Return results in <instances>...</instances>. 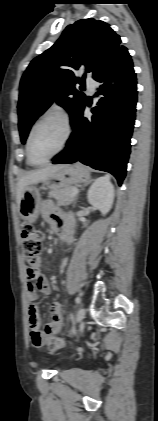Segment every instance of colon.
<instances>
[{
  "label": "colon",
  "mask_w": 158,
  "mask_h": 421,
  "mask_svg": "<svg viewBox=\"0 0 158 421\" xmlns=\"http://www.w3.org/2000/svg\"><path fill=\"white\" fill-rule=\"evenodd\" d=\"M22 251L28 266H33L38 260L42 251L43 234L41 231L35 229L30 225H25L21 232ZM36 344L41 342V337L38 334L34 335ZM44 343L52 350H57L63 347L64 341L57 336H48Z\"/></svg>",
  "instance_id": "1"
}]
</instances>
